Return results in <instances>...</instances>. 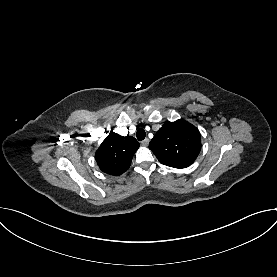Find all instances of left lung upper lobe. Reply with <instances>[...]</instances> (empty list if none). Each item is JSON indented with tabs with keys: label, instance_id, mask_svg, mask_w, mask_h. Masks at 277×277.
Returning <instances> with one entry per match:
<instances>
[{
	"label": "left lung upper lobe",
	"instance_id": "obj_1",
	"mask_svg": "<svg viewBox=\"0 0 277 277\" xmlns=\"http://www.w3.org/2000/svg\"><path fill=\"white\" fill-rule=\"evenodd\" d=\"M149 148L164 165L186 168L201 150L199 130L185 120L167 121L149 144Z\"/></svg>",
	"mask_w": 277,
	"mask_h": 277
}]
</instances>
